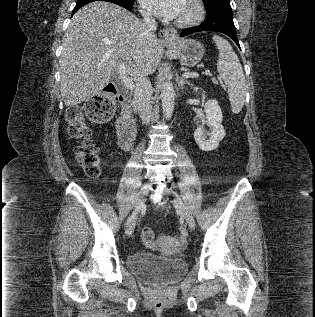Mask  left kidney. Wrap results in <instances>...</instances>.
Instances as JSON below:
<instances>
[{"label": "left kidney", "mask_w": 315, "mask_h": 317, "mask_svg": "<svg viewBox=\"0 0 315 317\" xmlns=\"http://www.w3.org/2000/svg\"><path fill=\"white\" fill-rule=\"evenodd\" d=\"M207 123L211 132L204 133L203 126H199L194 132V139L203 151L215 150L220 141L225 137V129L222 126V111L218 102L214 99L208 100L204 105Z\"/></svg>", "instance_id": "obj_1"}]
</instances>
